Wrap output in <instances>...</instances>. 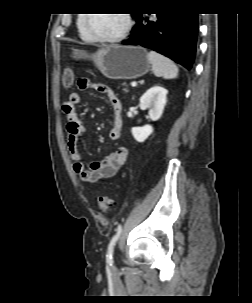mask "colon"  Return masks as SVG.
<instances>
[{"label":"colon","mask_w":252,"mask_h":303,"mask_svg":"<svg viewBox=\"0 0 252 303\" xmlns=\"http://www.w3.org/2000/svg\"><path fill=\"white\" fill-rule=\"evenodd\" d=\"M62 85L65 90L72 89L75 85V75L73 69L68 67L62 75ZM97 205L101 212L109 213L113 209V201L108 196L101 195L97 198Z\"/></svg>","instance_id":"obj_1"}]
</instances>
